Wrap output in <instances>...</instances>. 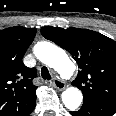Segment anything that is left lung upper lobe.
<instances>
[{
	"instance_id": "5c2ea615",
	"label": "left lung upper lobe",
	"mask_w": 116,
	"mask_h": 116,
	"mask_svg": "<svg viewBox=\"0 0 116 116\" xmlns=\"http://www.w3.org/2000/svg\"><path fill=\"white\" fill-rule=\"evenodd\" d=\"M42 35L67 50L80 68L72 85L84 99L116 102V42L98 32L79 28H41Z\"/></svg>"
}]
</instances>
